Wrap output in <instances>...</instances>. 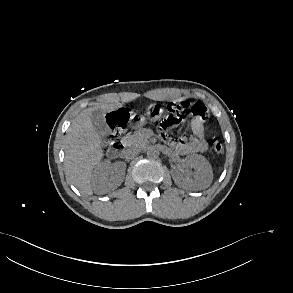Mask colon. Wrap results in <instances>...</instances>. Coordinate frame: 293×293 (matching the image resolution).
<instances>
[{"label": "colon", "mask_w": 293, "mask_h": 293, "mask_svg": "<svg viewBox=\"0 0 293 293\" xmlns=\"http://www.w3.org/2000/svg\"><path fill=\"white\" fill-rule=\"evenodd\" d=\"M167 110L169 112L168 116L159 125V131L165 138H170V131L178 126L185 116L191 115L201 120H206L208 117L207 107L200 102H190L188 100L173 101L168 103ZM126 120L127 113L124 110L111 113L109 118L110 133L106 140L108 144L118 143ZM212 148L216 154L223 153V145L216 137L212 139Z\"/></svg>", "instance_id": "obj_1"}]
</instances>
